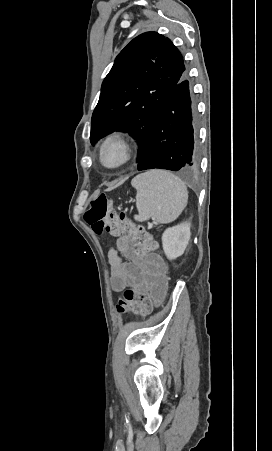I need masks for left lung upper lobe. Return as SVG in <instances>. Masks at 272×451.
I'll return each instance as SVG.
<instances>
[{"mask_svg":"<svg viewBox=\"0 0 272 451\" xmlns=\"http://www.w3.org/2000/svg\"><path fill=\"white\" fill-rule=\"evenodd\" d=\"M184 74L183 57L168 38L156 32L134 38L102 83L91 144L115 130L128 132L139 142V162L166 99Z\"/></svg>","mask_w":272,"mask_h":451,"instance_id":"5c2ea615","label":"left lung upper lobe"}]
</instances>
